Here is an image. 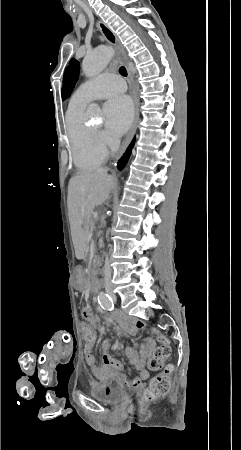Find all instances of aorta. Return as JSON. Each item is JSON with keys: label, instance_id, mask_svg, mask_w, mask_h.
<instances>
[{"label": "aorta", "instance_id": "aorta-1", "mask_svg": "<svg viewBox=\"0 0 241 450\" xmlns=\"http://www.w3.org/2000/svg\"><path fill=\"white\" fill-rule=\"evenodd\" d=\"M113 56V49L107 46L99 47L85 56L82 62V71L87 77H93L101 73ZM87 115L91 119L101 118L100 107L93 103L88 107ZM102 243V240H100Z\"/></svg>", "mask_w": 241, "mask_h": 450}]
</instances>
